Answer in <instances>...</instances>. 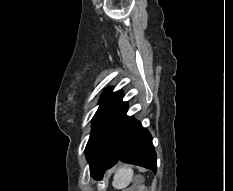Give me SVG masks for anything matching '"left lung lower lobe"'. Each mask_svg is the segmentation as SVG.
<instances>
[{"instance_id":"left-lung-lower-lobe-1","label":"left lung lower lobe","mask_w":233,"mask_h":191,"mask_svg":"<svg viewBox=\"0 0 233 191\" xmlns=\"http://www.w3.org/2000/svg\"><path fill=\"white\" fill-rule=\"evenodd\" d=\"M127 108L126 104L103 130L87 157L91 176L95 179H101L118 160L156 173V153L151 134L140 122L126 115Z\"/></svg>"}]
</instances>
